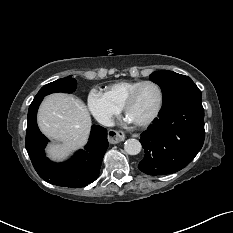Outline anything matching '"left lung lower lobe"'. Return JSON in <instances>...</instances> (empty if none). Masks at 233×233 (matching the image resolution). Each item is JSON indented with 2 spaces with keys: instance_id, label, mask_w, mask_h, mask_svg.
Listing matches in <instances>:
<instances>
[{
  "instance_id": "1",
  "label": "left lung lower lobe",
  "mask_w": 233,
  "mask_h": 233,
  "mask_svg": "<svg viewBox=\"0 0 233 233\" xmlns=\"http://www.w3.org/2000/svg\"><path fill=\"white\" fill-rule=\"evenodd\" d=\"M202 97H187L162 108L159 118L141 134L145 156L138 168L165 175L186 167L204 143Z\"/></svg>"
}]
</instances>
